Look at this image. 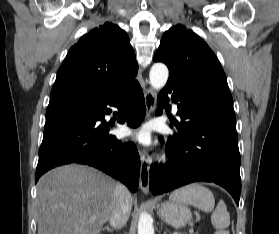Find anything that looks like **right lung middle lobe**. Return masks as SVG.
Returning a JSON list of instances; mask_svg holds the SVG:
<instances>
[{"label": "right lung middle lobe", "mask_w": 279, "mask_h": 234, "mask_svg": "<svg viewBox=\"0 0 279 234\" xmlns=\"http://www.w3.org/2000/svg\"><path fill=\"white\" fill-rule=\"evenodd\" d=\"M89 108L90 107H81V106H60V107L47 108L46 121L59 118V117L81 114L86 112Z\"/></svg>", "instance_id": "dd1d6c3e"}]
</instances>
